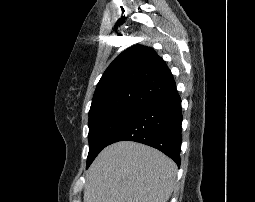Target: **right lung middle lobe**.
I'll return each mask as SVG.
<instances>
[{"mask_svg":"<svg viewBox=\"0 0 255 202\" xmlns=\"http://www.w3.org/2000/svg\"><path fill=\"white\" fill-rule=\"evenodd\" d=\"M135 109H115L89 116V154L87 168L108 145L110 138L137 112Z\"/></svg>","mask_w":255,"mask_h":202,"instance_id":"1","label":"right lung middle lobe"}]
</instances>
